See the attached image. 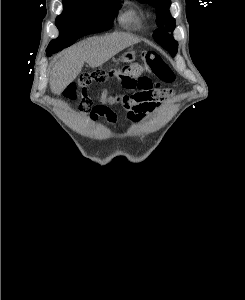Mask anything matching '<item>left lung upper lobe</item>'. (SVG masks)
I'll use <instances>...</instances> for the list:
<instances>
[{"mask_svg":"<svg viewBox=\"0 0 245 300\" xmlns=\"http://www.w3.org/2000/svg\"><path fill=\"white\" fill-rule=\"evenodd\" d=\"M142 3H148L156 10L157 26L153 33V37L157 43L168 50L170 54H176L178 43L173 38L175 29V19L169 12L170 0H139Z\"/></svg>","mask_w":245,"mask_h":300,"instance_id":"1","label":"left lung upper lobe"}]
</instances>
